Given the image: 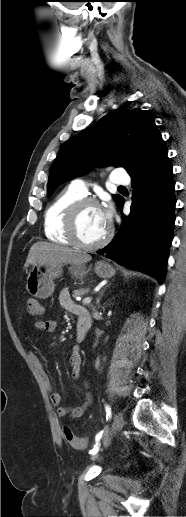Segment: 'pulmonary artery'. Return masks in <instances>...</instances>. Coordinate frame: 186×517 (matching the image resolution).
<instances>
[{"mask_svg":"<svg viewBox=\"0 0 186 517\" xmlns=\"http://www.w3.org/2000/svg\"><path fill=\"white\" fill-rule=\"evenodd\" d=\"M110 181L116 185H127L130 177L124 169H115L110 176ZM71 186L83 196L87 194V186L81 179L72 181Z\"/></svg>","mask_w":186,"mask_h":517,"instance_id":"pulmonary-artery-1","label":"pulmonary artery"}]
</instances>
